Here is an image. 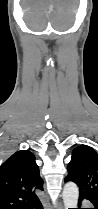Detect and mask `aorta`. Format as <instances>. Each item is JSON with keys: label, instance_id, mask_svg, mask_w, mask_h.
I'll return each mask as SVG.
<instances>
[{"label": "aorta", "instance_id": "obj_1", "mask_svg": "<svg viewBox=\"0 0 98 209\" xmlns=\"http://www.w3.org/2000/svg\"><path fill=\"white\" fill-rule=\"evenodd\" d=\"M62 196H63L65 209L77 208L79 190L75 183L73 182L66 183L63 189Z\"/></svg>", "mask_w": 98, "mask_h": 209}]
</instances>
